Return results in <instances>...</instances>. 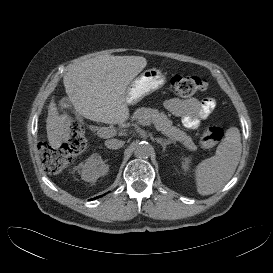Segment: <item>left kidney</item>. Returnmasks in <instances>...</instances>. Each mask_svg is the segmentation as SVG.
Returning <instances> with one entry per match:
<instances>
[{"label":"left kidney","mask_w":273,"mask_h":273,"mask_svg":"<svg viewBox=\"0 0 273 273\" xmlns=\"http://www.w3.org/2000/svg\"><path fill=\"white\" fill-rule=\"evenodd\" d=\"M182 169L186 172L190 168V160L188 158H184L181 162Z\"/></svg>","instance_id":"5707ae66"}]
</instances>
